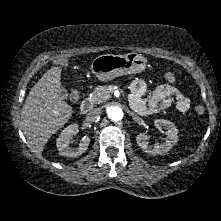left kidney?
<instances>
[{
    "label": "left kidney",
    "mask_w": 221,
    "mask_h": 221,
    "mask_svg": "<svg viewBox=\"0 0 221 221\" xmlns=\"http://www.w3.org/2000/svg\"><path fill=\"white\" fill-rule=\"evenodd\" d=\"M155 126L158 129L164 128L167 130L166 132V141L161 144H156L154 146H149L147 142V135L145 133H140L136 137V142L139 147L146 153L156 155L163 154L169 151L174 144L178 141V130L174 126V124L168 120L164 119H156Z\"/></svg>",
    "instance_id": "1"
}]
</instances>
